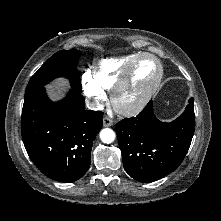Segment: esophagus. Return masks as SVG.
<instances>
[{
	"mask_svg": "<svg viewBox=\"0 0 221 221\" xmlns=\"http://www.w3.org/2000/svg\"><path fill=\"white\" fill-rule=\"evenodd\" d=\"M103 125L105 127L112 126L113 125V120L106 116V117L103 118Z\"/></svg>",
	"mask_w": 221,
	"mask_h": 221,
	"instance_id": "esophagus-1",
	"label": "esophagus"
}]
</instances>
